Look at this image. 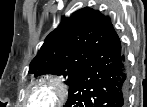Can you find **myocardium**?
<instances>
[{
  "label": "myocardium",
  "mask_w": 147,
  "mask_h": 107,
  "mask_svg": "<svg viewBox=\"0 0 147 107\" xmlns=\"http://www.w3.org/2000/svg\"><path fill=\"white\" fill-rule=\"evenodd\" d=\"M38 88H46L50 91L51 97L45 107H56L65 102L68 96V87L65 82L55 75H44L33 80L26 89L25 103H30L32 93Z\"/></svg>",
  "instance_id": "myocardium-1"
}]
</instances>
